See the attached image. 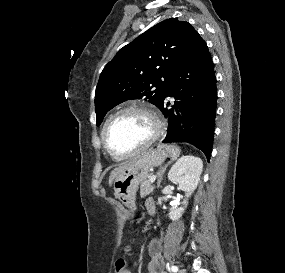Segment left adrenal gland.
<instances>
[{"label":"left adrenal gland","instance_id":"a2214340","mask_svg":"<svg viewBox=\"0 0 285 273\" xmlns=\"http://www.w3.org/2000/svg\"><path fill=\"white\" fill-rule=\"evenodd\" d=\"M171 164V161L168 162L167 164H165V166L161 167L157 173L158 175V183H157V187H160V184H161V181H162V178H163V174L166 170V168L168 167V165Z\"/></svg>","mask_w":285,"mask_h":273}]
</instances>
